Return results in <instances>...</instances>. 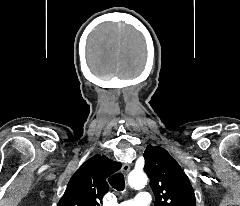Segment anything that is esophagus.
<instances>
[{"instance_id": "esophagus-1", "label": "esophagus", "mask_w": 240, "mask_h": 206, "mask_svg": "<svg viewBox=\"0 0 240 206\" xmlns=\"http://www.w3.org/2000/svg\"><path fill=\"white\" fill-rule=\"evenodd\" d=\"M129 171H130V165L127 164V163L123 164V165H122V172H123L125 175H127Z\"/></svg>"}]
</instances>
